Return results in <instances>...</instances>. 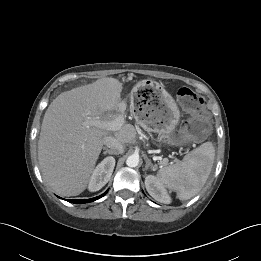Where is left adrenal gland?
I'll use <instances>...</instances> for the list:
<instances>
[{
	"label": "left adrenal gland",
	"mask_w": 261,
	"mask_h": 261,
	"mask_svg": "<svg viewBox=\"0 0 261 261\" xmlns=\"http://www.w3.org/2000/svg\"><path fill=\"white\" fill-rule=\"evenodd\" d=\"M146 164H145V170H148L149 168L153 171H155V167L154 165L151 163L150 159L146 158L145 160Z\"/></svg>",
	"instance_id": "left-adrenal-gland-1"
}]
</instances>
